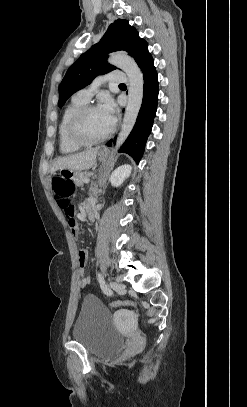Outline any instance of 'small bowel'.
<instances>
[{
  "instance_id": "small-bowel-1",
  "label": "small bowel",
  "mask_w": 247,
  "mask_h": 407,
  "mask_svg": "<svg viewBox=\"0 0 247 407\" xmlns=\"http://www.w3.org/2000/svg\"><path fill=\"white\" fill-rule=\"evenodd\" d=\"M67 219L68 226L74 236L78 234V221L76 218V207L72 199H70L69 203L64 206L60 207ZM88 258V250L83 248L78 252V264L80 266V276H81V284L82 286H87L90 283V277L87 275L85 271V265Z\"/></svg>"
}]
</instances>
